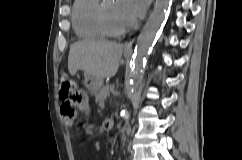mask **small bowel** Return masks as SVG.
Returning a JSON list of instances; mask_svg holds the SVG:
<instances>
[{
  "instance_id": "c3829d8e",
  "label": "small bowel",
  "mask_w": 242,
  "mask_h": 160,
  "mask_svg": "<svg viewBox=\"0 0 242 160\" xmlns=\"http://www.w3.org/2000/svg\"><path fill=\"white\" fill-rule=\"evenodd\" d=\"M66 105V103H62V106H61V112H62V108H63V106H65ZM87 109V102L85 101L84 103H82L81 105H80V107H79V110H81V111H85ZM64 118H65V122H66V124H68V125H71L72 124V119L71 118H67V117H65L64 116Z\"/></svg>"
}]
</instances>
